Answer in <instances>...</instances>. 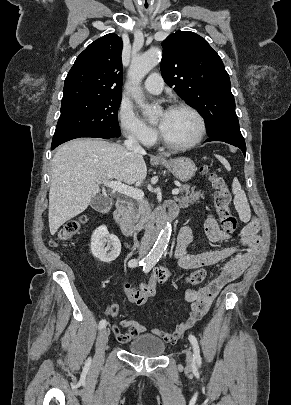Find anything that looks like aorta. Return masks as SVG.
I'll list each match as a JSON object with an SVG mask.
<instances>
[{"label":"aorta","mask_w":291,"mask_h":405,"mask_svg":"<svg viewBox=\"0 0 291 405\" xmlns=\"http://www.w3.org/2000/svg\"><path fill=\"white\" fill-rule=\"evenodd\" d=\"M162 51L159 48H151L145 53L135 56L132 59L129 69V77L131 79V92L136 103L141 107L143 113L154 119L158 111L145 104L143 93L140 88L142 79L151 71L161 60ZM171 236V224L167 223L160 231L158 238L149 252L147 258L151 261H157L166 250Z\"/></svg>","instance_id":"1"}]
</instances>
